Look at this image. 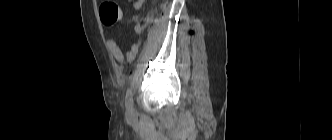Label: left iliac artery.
<instances>
[{
    "label": "left iliac artery",
    "mask_w": 332,
    "mask_h": 140,
    "mask_svg": "<svg viewBox=\"0 0 332 140\" xmlns=\"http://www.w3.org/2000/svg\"><path fill=\"white\" fill-rule=\"evenodd\" d=\"M125 105H126V109L130 113H132L133 112V97H132L131 88L127 89L126 96H125Z\"/></svg>",
    "instance_id": "obj_1"
}]
</instances>
